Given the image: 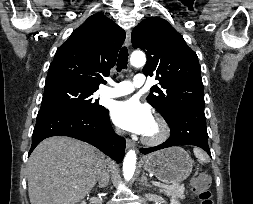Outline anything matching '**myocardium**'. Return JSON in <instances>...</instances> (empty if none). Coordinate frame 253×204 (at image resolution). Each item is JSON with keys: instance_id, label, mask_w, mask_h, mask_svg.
I'll return each instance as SVG.
<instances>
[{"instance_id": "f54148a6", "label": "myocardium", "mask_w": 253, "mask_h": 204, "mask_svg": "<svg viewBox=\"0 0 253 204\" xmlns=\"http://www.w3.org/2000/svg\"><path fill=\"white\" fill-rule=\"evenodd\" d=\"M154 122L158 126L159 132L154 137H148L146 135H143L141 140L145 145L148 146H158L163 144L170 135V127L168 123L163 119L162 117H155Z\"/></svg>"}]
</instances>
